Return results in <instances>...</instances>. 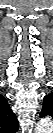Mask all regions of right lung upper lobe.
<instances>
[{"label": "right lung upper lobe", "instance_id": "right-lung-upper-lobe-1", "mask_svg": "<svg viewBox=\"0 0 53 133\" xmlns=\"http://www.w3.org/2000/svg\"><path fill=\"white\" fill-rule=\"evenodd\" d=\"M0 129L5 133H15L18 129L16 115L9 108L7 100L0 95Z\"/></svg>", "mask_w": 53, "mask_h": 133}]
</instances>
